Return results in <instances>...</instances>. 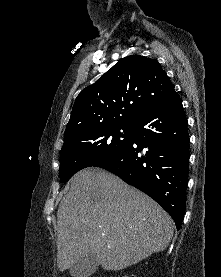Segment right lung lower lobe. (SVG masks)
Here are the masks:
<instances>
[{
	"mask_svg": "<svg viewBox=\"0 0 221 277\" xmlns=\"http://www.w3.org/2000/svg\"><path fill=\"white\" fill-rule=\"evenodd\" d=\"M131 142L95 167L103 168L145 192L173 218L179 230L186 208L189 134L175 90L138 117Z\"/></svg>",
	"mask_w": 221,
	"mask_h": 277,
	"instance_id": "1",
	"label": "right lung lower lobe"
}]
</instances>
